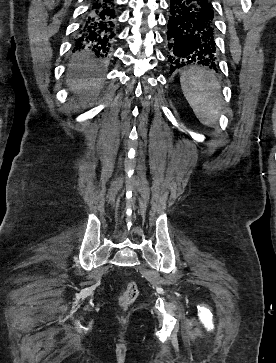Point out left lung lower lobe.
Wrapping results in <instances>:
<instances>
[{"label": "left lung lower lobe", "mask_w": 276, "mask_h": 363, "mask_svg": "<svg viewBox=\"0 0 276 363\" xmlns=\"http://www.w3.org/2000/svg\"><path fill=\"white\" fill-rule=\"evenodd\" d=\"M167 49L170 73L200 64L217 71L214 12L208 0H170Z\"/></svg>", "instance_id": "0a47b994"}]
</instances>
